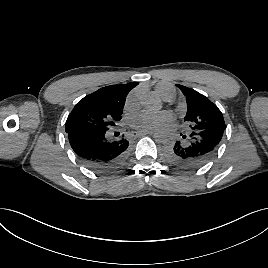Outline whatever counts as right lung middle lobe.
<instances>
[{"label":"right lung middle lobe","instance_id":"right-lung-middle-lobe-1","mask_svg":"<svg viewBox=\"0 0 268 268\" xmlns=\"http://www.w3.org/2000/svg\"><path fill=\"white\" fill-rule=\"evenodd\" d=\"M123 106L105 105L97 100H80L66 121V132L107 131L122 117Z\"/></svg>","mask_w":268,"mask_h":268}]
</instances>
